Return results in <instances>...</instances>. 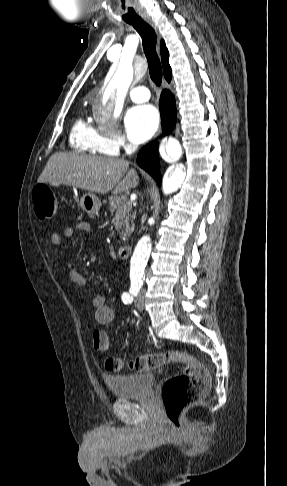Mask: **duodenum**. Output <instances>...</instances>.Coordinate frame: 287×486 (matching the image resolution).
<instances>
[{
	"label": "duodenum",
	"mask_w": 287,
	"mask_h": 486,
	"mask_svg": "<svg viewBox=\"0 0 287 486\" xmlns=\"http://www.w3.org/2000/svg\"><path fill=\"white\" fill-rule=\"evenodd\" d=\"M132 251V247L129 244H124L118 248V257L120 259H125L127 258Z\"/></svg>",
	"instance_id": "duodenum-1"
}]
</instances>
